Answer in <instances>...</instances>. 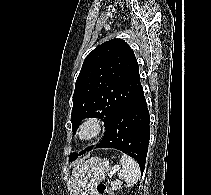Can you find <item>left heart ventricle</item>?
Segmentation results:
<instances>
[{
    "instance_id": "b2bd125f",
    "label": "left heart ventricle",
    "mask_w": 211,
    "mask_h": 195,
    "mask_svg": "<svg viewBox=\"0 0 211 195\" xmlns=\"http://www.w3.org/2000/svg\"><path fill=\"white\" fill-rule=\"evenodd\" d=\"M89 133V131H86V134H88Z\"/></svg>"
}]
</instances>
